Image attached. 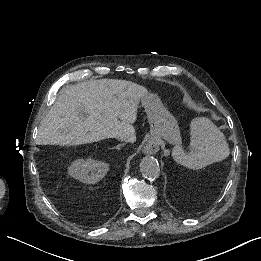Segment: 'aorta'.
<instances>
[{
  "mask_svg": "<svg viewBox=\"0 0 261 261\" xmlns=\"http://www.w3.org/2000/svg\"><path fill=\"white\" fill-rule=\"evenodd\" d=\"M140 171L146 179L150 181L156 180L160 175L158 161L151 156L144 157L140 162Z\"/></svg>",
  "mask_w": 261,
  "mask_h": 261,
  "instance_id": "762f6f07",
  "label": "aorta"
}]
</instances>
